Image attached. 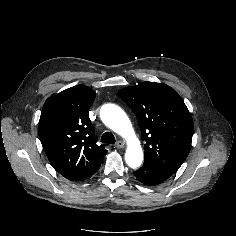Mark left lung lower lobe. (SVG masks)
<instances>
[{
  "label": "left lung lower lobe",
  "mask_w": 236,
  "mask_h": 236,
  "mask_svg": "<svg viewBox=\"0 0 236 236\" xmlns=\"http://www.w3.org/2000/svg\"><path fill=\"white\" fill-rule=\"evenodd\" d=\"M134 174L140 182L148 186L159 185L172 176V174L156 169L152 163L146 161Z\"/></svg>",
  "instance_id": "0a47b994"
}]
</instances>
